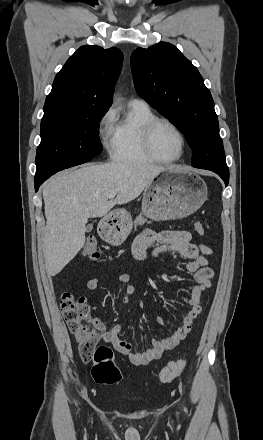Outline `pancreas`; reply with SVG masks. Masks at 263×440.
<instances>
[{"instance_id":"obj_1","label":"pancreas","mask_w":263,"mask_h":440,"mask_svg":"<svg viewBox=\"0 0 263 440\" xmlns=\"http://www.w3.org/2000/svg\"><path fill=\"white\" fill-rule=\"evenodd\" d=\"M145 222H147V220H146L142 215H139V216L135 219L134 224H135V226H137V225H143Z\"/></svg>"}]
</instances>
